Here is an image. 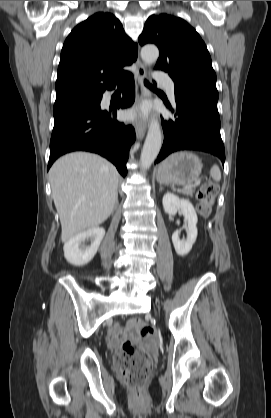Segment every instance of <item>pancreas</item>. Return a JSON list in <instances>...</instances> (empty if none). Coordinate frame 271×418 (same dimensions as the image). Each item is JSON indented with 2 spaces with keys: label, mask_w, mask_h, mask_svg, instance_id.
<instances>
[{
  "label": "pancreas",
  "mask_w": 271,
  "mask_h": 418,
  "mask_svg": "<svg viewBox=\"0 0 271 418\" xmlns=\"http://www.w3.org/2000/svg\"><path fill=\"white\" fill-rule=\"evenodd\" d=\"M195 186L185 187L184 189L180 190V192L186 196H192L195 192Z\"/></svg>",
  "instance_id": "obj_1"
}]
</instances>
